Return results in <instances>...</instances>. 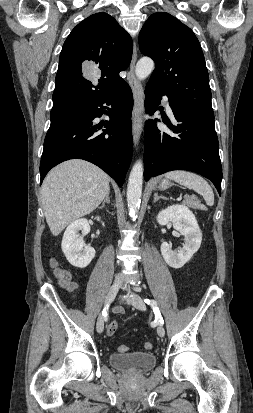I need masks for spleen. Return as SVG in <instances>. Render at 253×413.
I'll return each instance as SVG.
<instances>
[{
	"instance_id": "spleen-1",
	"label": "spleen",
	"mask_w": 253,
	"mask_h": 413,
	"mask_svg": "<svg viewBox=\"0 0 253 413\" xmlns=\"http://www.w3.org/2000/svg\"><path fill=\"white\" fill-rule=\"evenodd\" d=\"M166 178L175 180L179 184L196 191L197 193L203 196L208 206H213V190L211 186L208 184V182L201 176L184 170H176L168 172L166 174Z\"/></svg>"
}]
</instances>
